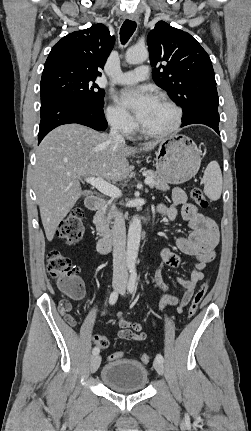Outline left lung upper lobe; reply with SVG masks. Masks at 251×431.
I'll list each match as a JSON object with an SVG mask.
<instances>
[{
	"mask_svg": "<svg viewBox=\"0 0 251 431\" xmlns=\"http://www.w3.org/2000/svg\"><path fill=\"white\" fill-rule=\"evenodd\" d=\"M153 80L183 110V120L204 112L218 113L214 70L206 51L189 33L156 23L147 37Z\"/></svg>",
	"mask_w": 251,
	"mask_h": 431,
	"instance_id": "5c2ea615",
	"label": "left lung upper lobe"
}]
</instances>
